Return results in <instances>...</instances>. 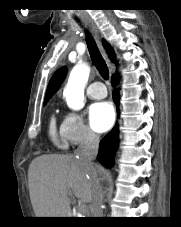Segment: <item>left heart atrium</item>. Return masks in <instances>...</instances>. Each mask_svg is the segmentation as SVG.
<instances>
[{"instance_id": "39dd6f15", "label": "left heart atrium", "mask_w": 181, "mask_h": 227, "mask_svg": "<svg viewBox=\"0 0 181 227\" xmlns=\"http://www.w3.org/2000/svg\"><path fill=\"white\" fill-rule=\"evenodd\" d=\"M115 120V113L110 102H97L89 108L91 127L97 132H105L111 128Z\"/></svg>"}]
</instances>
